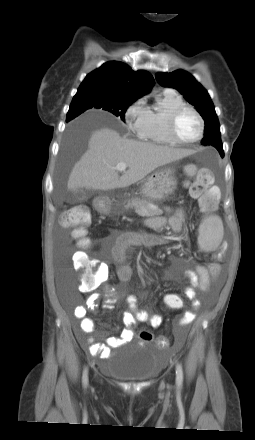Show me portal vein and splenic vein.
<instances>
[{"mask_svg":"<svg viewBox=\"0 0 255 440\" xmlns=\"http://www.w3.org/2000/svg\"><path fill=\"white\" fill-rule=\"evenodd\" d=\"M126 168H127V165H126V163H123V162L118 163V164L116 165V167H115V169H116L117 171H125Z\"/></svg>","mask_w":255,"mask_h":440,"instance_id":"18ae733b","label":"portal vein and splenic vein"}]
</instances>
